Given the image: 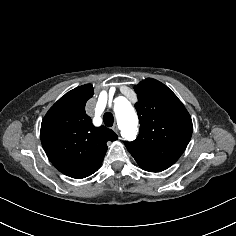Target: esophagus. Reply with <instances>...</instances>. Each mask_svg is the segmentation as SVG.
I'll return each mask as SVG.
<instances>
[{
    "instance_id": "esophagus-1",
    "label": "esophagus",
    "mask_w": 236,
    "mask_h": 236,
    "mask_svg": "<svg viewBox=\"0 0 236 236\" xmlns=\"http://www.w3.org/2000/svg\"><path fill=\"white\" fill-rule=\"evenodd\" d=\"M112 129L117 133L119 134V128L116 124L113 125Z\"/></svg>"
}]
</instances>
